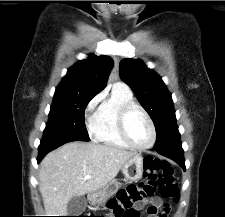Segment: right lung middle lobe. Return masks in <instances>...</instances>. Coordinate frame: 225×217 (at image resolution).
Here are the masks:
<instances>
[{"mask_svg": "<svg viewBox=\"0 0 225 217\" xmlns=\"http://www.w3.org/2000/svg\"><path fill=\"white\" fill-rule=\"evenodd\" d=\"M94 96L54 95L43 139L89 141L84 111Z\"/></svg>", "mask_w": 225, "mask_h": 217, "instance_id": "right-lung-middle-lobe-1", "label": "right lung middle lobe"}]
</instances>
